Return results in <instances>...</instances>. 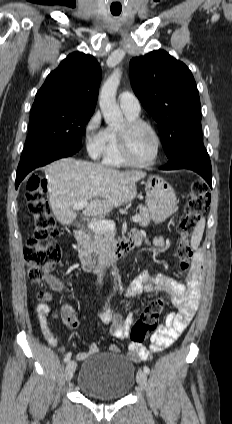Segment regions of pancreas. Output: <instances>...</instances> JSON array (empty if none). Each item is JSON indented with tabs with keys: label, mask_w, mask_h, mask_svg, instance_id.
Listing matches in <instances>:
<instances>
[{
	"label": "pancreas",
	"mask_w": 232,
	"mask_h": 424,
	"mask_svg": "<svg viewBox=\"0 0 232 424\" xmlns=\"http://www.w3.org/2000/svg\"><path fill=\"white\" fill-rule=\"evenodd\" d=\"M140 226L146 227L151 221V215L148 209L144 206H139ZM115 231L111 230H98L92 231L89 234L86 242L91 252L98 254L99 257L104 256L114 246Z\"/></svg>",
	"instance_id": "pancreas-1"
}]
</instances>
